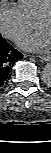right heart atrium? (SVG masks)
<instances>
[{"label": "right heart atrium", "mask_w": 51, "mask_h": 153, "mask_svg": "<svg viewBox=\"0 0 51 153\" xmlns=\"http://www.w3.org/2000/svg\"><path fill=\"white\" fill-rule=\"evenodd\" d=\"M34 27L17 4L2 1L0 4V31L10 40H18Z\"/></svg>", "instance_id": "obj_1"}]
</instances>
